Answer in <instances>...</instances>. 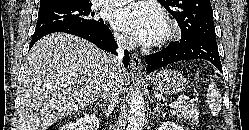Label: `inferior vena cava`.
<instances>
[{
    "instance_id": "inferior-vena-cava-1",
    "label": "inferior vena cava",
    "mask_w": 249,
    "mask_h": 130,
    "mask_svg": "<svg viewBox=\"0 0 249 130\" xmlns=\"http://www.w3.org/2000/svg\"><path fill=\"white\" fill-rule=\"evenodd\" d=\"M118 44V56H111L112 70L109 81L102 90V98L108 101L113 107L118 103L119 90H118V75L124 71L122 64V57L124 49L134 48V41L128 36H115Z\"/></svg>"
}]
</instances>
